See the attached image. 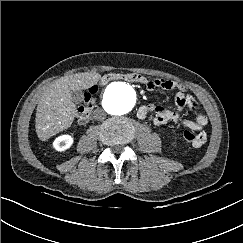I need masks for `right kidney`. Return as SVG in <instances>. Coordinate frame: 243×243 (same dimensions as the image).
I'll list each match as a JSON object with an SVG mask.
<instances>
[{"instance_id":"right-kidney-1","label":"right kidney","mask_w":243,"mask_h":243,"mask_svg":"<svg viewBox=\"0 0 243 243\" xmlns=\"http://www.w3.org/2000/svg\"><path fill=\"white\" fill-rule=\"evenodd\" d=\"M73 142H74L73 137L65 134L57 137L54 140L53 147L57 151H65L72 146Z\"/></svg>"}]
</instances>
